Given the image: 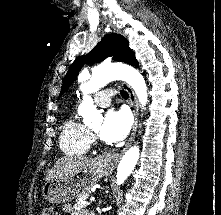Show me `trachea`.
<instances>
[{"instance_id":"obj_1","label":"trachea","mask_w":221,"mask_h":215,"mask_svg":"<svg viewBox=\"0 0 221 215\" xmlns=\"http://www.w3.org/2000/svg\"><path fill=\"white\" fill-rule=\"evenodd\" d=\"M120 94H121V96H122L124 99H128V98H129V94H128L126 91H124V90H121V91H120Z\"/></svg>"}]
</instances>
